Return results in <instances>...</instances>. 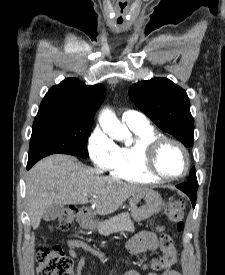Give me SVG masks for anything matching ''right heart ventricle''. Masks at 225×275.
Returning <instances> with one entry per match:
<instances>
[{
    "label": "right heart ventricle",
    "instance_id": "e07e8e85",
    "mask_svg": "<svg viewBox=\"0 0 225 275\" xmlns=\"http://www.w3.org/2000/svg\"><path fill=\"white\" fill-rule=\"evenodd\" d=\"M135 135L132 144L117 148V154L109 167L111 176L133 183L149 184L159 180L151 176L143 166V146L161 136L151 125L129 126Z\"/></svg>",
    "mask_w": 225,
    "mask_h": 275
}]
</instances>
